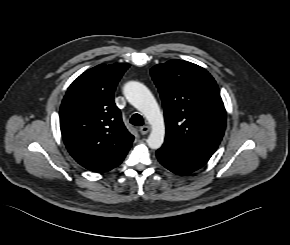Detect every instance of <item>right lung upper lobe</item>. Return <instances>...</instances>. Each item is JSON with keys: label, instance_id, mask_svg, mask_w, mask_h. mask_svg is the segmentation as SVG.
Listing matches in <instances>:
<instances>
[{"label": "right lung upper lobe", "instance_id": "1", "mask_svg": "<svg viewBox=\"0 0 290 245\" xmlns=\"http://www.w3.org/2000/svg\"><path fill=\"white\" fill-rule=\"evenodd\" d=\"M129 64H100L81 74L60 107V128L71 156L83 167L106 172L118 166L134 136L122 122L113 94Z\"/></svg>", "mask_w": 290, "mask_h": 245}]
</instances>
